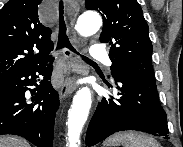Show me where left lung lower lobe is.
Returning <instances> with one entry per match:
<instances>
[{
    "instance_id": "obj_1",
    "label": "left lung lower lobe",
    "mask_w": 183,
    "mask_h": 147,
    "mask_svg": "<svg viewBox=\"0 0 183 147\" xmlns=\"http://www.w3.org/2000/svg\"><path fill=\"white\" fill-rule=\"evenodd\" d=\"M114 79L121 97L103 98L98 104L87 129V146L125 130L168 138L167 116L160 105L155 81L130 73H119Z\"/></svg>"
}]
</instances>
